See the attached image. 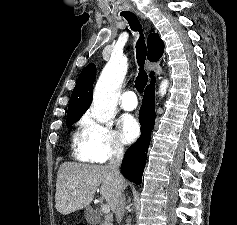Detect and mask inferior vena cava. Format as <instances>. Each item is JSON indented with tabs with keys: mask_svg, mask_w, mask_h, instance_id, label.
Listing matches in <instances>:
<instances>
[{
	"mask_svg": "<svg viewBox=\"0 0 237 225\" xmlns=\"http://www.w3.org/2000/svg\"><path fill=\"white\" fill-rule=\"evenodd\" d=\"M123 154H124L123 146L120 143H114L112 145V156L110 157L109 163L107 165L118 185V196L114 213L116 221L119 224L124 216L126 206L125 197L123 195L124 179L119 169L123 159Z\"/></svg>",
	"mask_w": 237,
	"mask_h": 225,
	"instance_id": "602c4592",
	"label": "inferior vena cava"
}]
</instances>
